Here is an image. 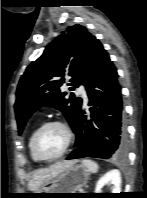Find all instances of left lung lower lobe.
<instances>
[{
	"label": "left lung lower lobe",
	"mask_w": 147,
	"mask_h": 198,
	"mask_svg": "<svg viewBox=\"0 0 147 198\" xmlns=\"http://www.w3.org/2000/svg\"><path fill=\"white\" fill-rule=\"evenodd\" d=\"M85 89L91 119L81 109L74 128L76 146L67 159L123 157L127 132L117 69L102 44L95 39Z\"/></svg>",
	"instance_id": "0a47b994"
}]
</instances>
